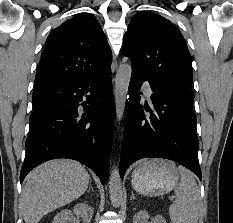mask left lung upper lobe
Listing matches in <instances>:
<instances>
[{
    "label": "left lung upper lobe",
    "mask_w": 233,
    "mask_h": 223,
    "mask_svg": "<svg viewBox=\"0 0 233 223\" xmlns=\"http://www.w3.org/2000/svg\"><path fill=\"white\" fill-rule=\"evenodd\" d=\"M122 52L152 88L192 97V58L181 32L166 18L146 11L134 15Z\"/></svg>",
    "instance_id": "left-lung-upper-lobe-1"
}]
</instances>
